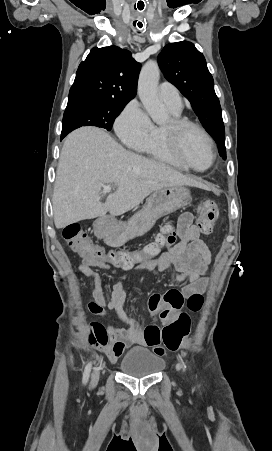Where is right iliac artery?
Segmentation results:
<instances>
[{"instance_id": "right-iliac-artery-1", "label": "right iliac artery", "mask_w": 272, "mask_h": 451, "mask_svg": "<svg viewBox=\"0 0 272 451\" xmlns=\"http://www.w3.org/2000/svg\"><path fill=\"white\" fill-rule=\"evenodd\" d=\"M90 371H91V363H88V365L85 367V370L83 373V383L84 384L88 381Z\"/></svg>"}]
</instances>
